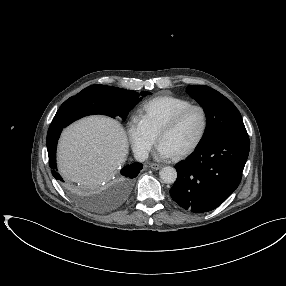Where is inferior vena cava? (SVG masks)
<instances>
[{"mask_svg":"<svg viewBox=\"0 0 286 286\" xmlns=\"http://www.w3.org/2000/svg\"><path fill=\"white\" fill-rule=\"evenodd\" d=\"M149 153L146 150H137L134 154V157L139 162H144L148 159Z\"/></svg>","mask_w":286,"mask_h":286,"instance_id":"obj_1","label":"inferior vena cava"}]
</instances>
